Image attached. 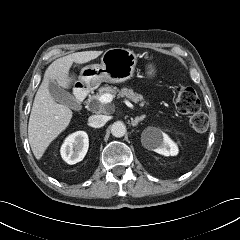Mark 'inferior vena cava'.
<instances>
[{"mask_svg": "<svg viewBox=\"0 0 240 240\" xmlns=\"http://www.w3.org/2000/svg\"><path fill=\"white\" fill-rule=\"evenodd\" d=\"M108 118L105 115H92L89 117V125L94 128H100L105 125Z\"/></svg>", "mask_w": 240, "mask_h": 240, "instance_id": "1", "label": "inferior vena cava"}]
</instances>
